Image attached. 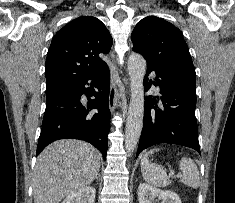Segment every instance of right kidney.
<instances>
[{
    "mask_svg": "<svg viewBox=\"0 0 235 203\" xmlns=\"http://www.w3.org/2000/svg\"><path fill=\"white\" fill-rule=\"evenodd\" d=\"M96 190L86 186L78 191L69 194L62 203H94Z\"/></svg>",
    "mask_w": 235,
    "mask_h": 203,
    "instance_id": "obj_1",
    "label": "right kidney"
}]
</instances>
